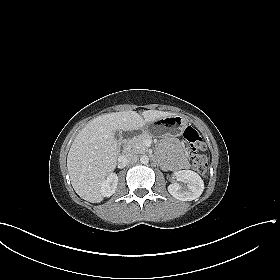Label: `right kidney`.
<instances>
[{
	"mask_svg": "<svg viewBox=\"0 0 280 280\" xmlns=\"http://www.w3.org/2000/svg\"><path fill=\"white\" fill-rule=\"evenodd\" d=\"M118 177L115 173H110L108 177L101 183V194L103 197H110L117 189Z\"/></svg>",
	"mask_w": 280,
	"mask_h": 280,
	"instance_id": "1",
	"label": "right kidney"
}]
</instances>
